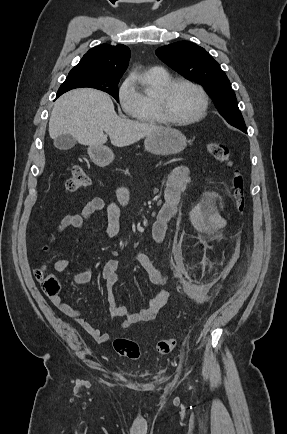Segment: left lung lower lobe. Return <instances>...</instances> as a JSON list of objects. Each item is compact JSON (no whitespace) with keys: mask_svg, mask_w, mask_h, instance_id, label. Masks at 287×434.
I'll return each mask as SVG.
<instances>
[{"mask_svg":"<svg viewBox=\"0 0 287 434\" xmlns=\"http://www.w3.org/2000/svg\"><path fill=\"white\" fill-rule=\"evenodd\" d=\"M236 128L242 130V131L245 132V133L247 132V131H246V126H245V127H236Z\"/></svg>","mask_w":287,"mask_h":434,"instance_id":"left-lung-lower-lobe-1","label":"left lung lower lobe"}]
</instances>
